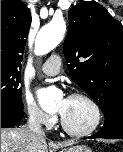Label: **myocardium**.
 Listing matches in <instances>:
<instances>
[{
  "mask_svg": "<svg viewBox=\"0 0 123 152\" xmlns=\"http://www.w3.org/2000/svg\"><path fill=\"white\" fill-rule=\"evenodd\" d=\"M69 98H80L87 101L91 105L94 111V121L91 124V126L85 130H74L71 127H69L64 121L63 117L60 116V123H61L62 129L67 134L75 136V137H86V136L91 135L98 129V127L100 126L102 122L103 115H102V110H101L100 105L92 96L84 92H74L69 96Z\"/></svg>",
  "mask_w": 123,
  "mask_h": 152,
  "instance_id": "f54148a6",
  "label": "myocardium"
}]
</instances>
